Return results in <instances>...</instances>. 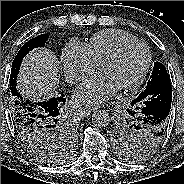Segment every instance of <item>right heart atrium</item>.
<instances>
[{"label":"right heart atrium","instance_id":"1","mask_svg":"<svg viewBox=\"0 0 184 184\" xmlns=\"http://www.w3.org/2000/svg\"><path fill=\"white\" fill-rule=\"evenodd\" d=\"M61 63L65 77L71 84L82 81L98 68L87 45L77 39L66 44L61 54Z\"/></svg>","mask_w":184,"mask_h":184}]
</instances>
